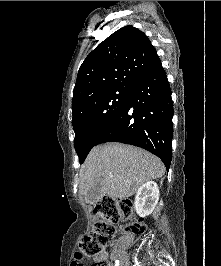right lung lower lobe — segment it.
<instances>
[{
    "instance_id": "1",
    "label": "right lung lower lobe",
    "mask_w": 221,
    "mask_h": 266,
    "mask_svg": "<svg viewBox=\"0 0 221 266\" xmlns=\"http://www.w3.org/2000/svg\"><path fill=\"white\" fill-rule=\"evenodd\" d=\"M173 103L162 65L137 80L127 102L114 121L101 133L96 145L121 142L157 155L167 170L172 158Z\"/></svg>"
}]
</instances>
